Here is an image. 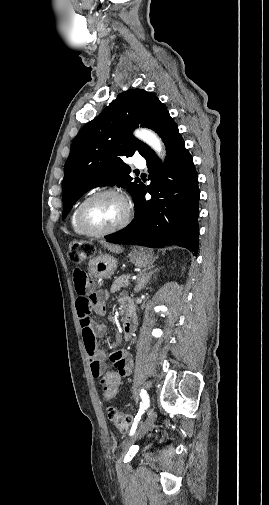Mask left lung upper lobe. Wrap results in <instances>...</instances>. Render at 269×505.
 I'll list each match as a JSON object with an SVG mask.
<instances>
[{"instance_id": "left-lung-upper-lobe-1", "label": "left lung upper lobe", "mask_w": 269, "mask_h": 505, "mask_svg": "<svg viewBox=\"0 0 269 505\" xmlns=\"http://www.w3.org/2000/svg\"><path fill=\"white\" fill-rule=\"evenodd\" d=\"M168 113L154 94L130 89L84 125L73 140L64 167L62 219L84 193L97 186L117 184L135 199L142 183L129 176L131 169L122 158L135 152L144 157L150 148L131 132L139 126L155 131Z\"/></svg>"}]
</instances>
